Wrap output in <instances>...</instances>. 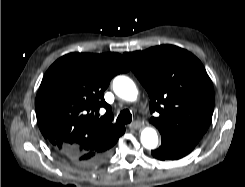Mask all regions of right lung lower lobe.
Segmentation results:
<instances>
[{
  "instance_id": "98d812e1",
  "label": "right lung lower lobe",
  "mask_w": 245,
  "mask_h": 187,
  "mask_svg": "<svg viewBox=\"0 0 245 187\" xmlns=\"http://www.w3.org/2000/svg\"><path fill=\"white\" fill-rule=\"evenodd\" d=\"M122 130L112 141H107L104 137L93 139L94 147L85 152H79L77 148L69 149L65 152H56L59 157L69 165L80 168L90 169L102 165L110 157L112 147L116 144L118 138L124 134Z\"/></svg>"
}]
</instances>
